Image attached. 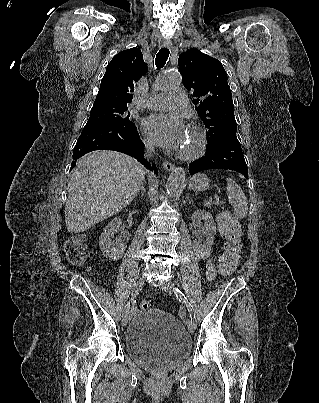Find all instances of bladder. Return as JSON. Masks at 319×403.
Here are the masks:
<instances>
[{"mask_svg":"<svg viewBox=\"0 0 319 403\" xmlns=\"http://www.w3.org/2000/svg\"><path fill=\"white\" fill-rule=\"evenodd\" d=\"M128 357L144 369L175 368L190 355L191 339L174 316L147 309L136 314L125 333Z\"/></svg>","mask_w":319,"mask_h":403,"instance_id":"1","label":"bladder"}]
</instances>
